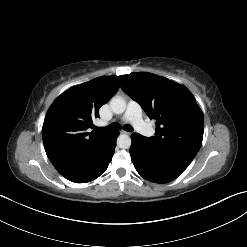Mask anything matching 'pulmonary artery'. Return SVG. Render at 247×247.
Masks as SVG:
<instances>
[{
  "label": "pulmonary artery",
  "mask_w": 247,
  "mask_h": 247,
  "mask_svg": "<svg viewBox=\"0 0 247 247\" xmlns=\"http://www.w3.org/2000/svg\"><path fill=\"white\" fill-rule=\"evenodd\" d=\"M121 120L131 123L138 132L145 136H152L154 133L153 128L143 120L142 109L135 101H129Z\"/></svg>",
  "instance_id": "obj_1"
}]
</instances>
